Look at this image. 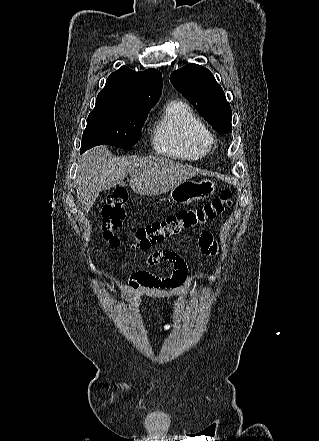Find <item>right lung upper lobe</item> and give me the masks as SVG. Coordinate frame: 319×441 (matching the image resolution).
<instances>
[{
	"mask_svg": "<svg viewBox=\"0 0 319 441\" xmlns=\"http://www.w3.org/2000/svg\"><path fill=\"white\" fill-rule=\"evenodd\" d=\"M161 92L162 75L158 70L136 72L122 66L108 77L95 107H153Z\"/></svg>",
	"mask_w": 319,
	"mask_h": 441,
	"instance_id": "1",
	"label": "right lung upper lobe"
}]
</instances>
